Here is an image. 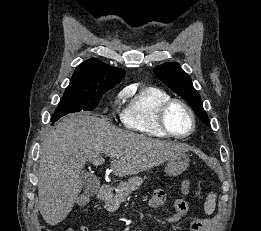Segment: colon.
Listing matches in <instances>:
<instances>
[{
	"label": "colon",
	"instance_id": "obj_1",
	"mask_svg": "<svg viewBox=\"0 0 261 231\" xmlns=\"http://www.w3.org/2000/svg\"><path fill=\"white\" fill-rule=\"evenodd\" d=\"M190 188V183L188 181L182 184L183 193H187ZM89 203V198L86 196H82L76 201V206L82 207ZM207 225V221L205 219H193L190 224V231H200L203 227ZM46 231H51L50 229H45Z\"/></svg>",
	"mask_w": 261,
	"mask_h": 231
}]
</instances>
